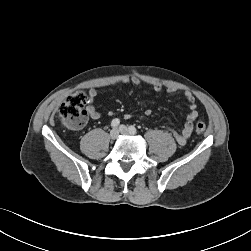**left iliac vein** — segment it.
<instances>
[{"label":"left iliac vein","mask_w":251,"mask_h":251,"mask_svg":"<svg viewBox=\"0 0 251 251\" xmlns=\"http://www.w3.org/2000/svg\"><path fill=\"white\" fill-rule=\"evenodd\" d=\"M119 131L124 135H132L129 129L125 125H120Z\"/></svg>","instance_id":"1"}]
</instances>
